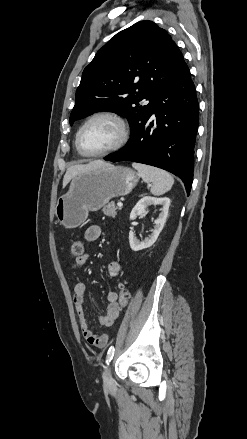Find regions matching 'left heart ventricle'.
Masks as SVG:
<instances>
[{"label": "left heart ventricle", "instance_id": "left-heart-ventricle-1", "mask_svg": "<svg viewBox=\"0 0 247 439\" xmlns=\"http://www.w3.org/2000/svg\"><path fill=\"white\" fill-rule=\"evenodd\" d=\"M120 137L118 124L108 118H98L89 123L81 136L83 149L97 153L112 147Z\"/></svg>", "mask_w": 247, "mask_h": 439}]
</instances>
